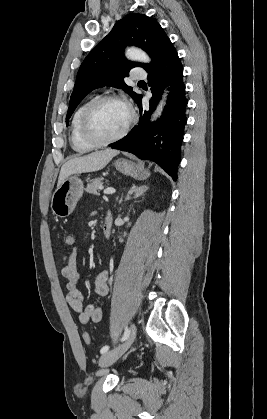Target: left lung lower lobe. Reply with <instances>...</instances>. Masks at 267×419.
<instances>
[{"label": "left lung lower lobe", "instance_id": "1", "mask_svg": "<svg viewBox=\"0 0 267 419\" xmlns=\"http://www.w3.org/2000/svg\"><path fill=\"white\" fill-rule=\"evenodd\" d=\"M147 72L148 85L153 94L149 101L150 108L146 110L143 107L141 96L136 102L140 110L138 125L111 148L133 153L143 160L154 161L173 180H177L188 100L185 97L183 66L171 41L167 43L156 65ZM166 82L170 85L167 106L160 119L149 123L150 115L161 98Z\"/></svg>", "mask_w": 267, "mask_h": 419}]
</instances>
